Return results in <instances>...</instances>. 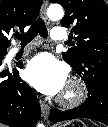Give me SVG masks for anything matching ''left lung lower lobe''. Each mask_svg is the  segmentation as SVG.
I'll list each match as a JSON object with an SVG mask.
<instances>
[{"label": "left lung lower lobe", "mask_w": 108, "mask_h": 127, "mask_svg": "<svg viewBox=\"0 0 108 127\" xmlns=\"http://www.w3.org/2000/svg\"><path fill=\"white\" fill-rule=\"evenodd\" d=\"M103 62L108 63V57H104ZM86 86L88 99L79 107L64 112L51 109L50 120L53 123L76 118H88L108 125V81L106 77L100 72L99 78L92 80Z\"/></svg>", "instance_id": "0a47b994"}]
</instances>
